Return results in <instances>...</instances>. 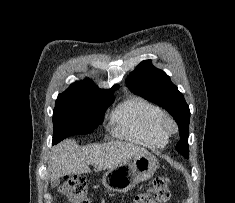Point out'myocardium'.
I'll return each mask as SVG.
<instances>
[{
	"label": "myocardium",
	"instance_id": "f54148a6",
	"mask_svg": "<svg viewBox=\"0 0 235 203\" xmlns=\"http://www.w3.org/2000/svg\"><path fill=\"white\" fill-rule=\"evenodd\" d=\"M156 129L165 134L166 136H170L177 131V124L174 118L168 113H162L156 122Z\"/></svg>",
	"mask_w": 235,
	"mask_h": 203
}]
</instances>
